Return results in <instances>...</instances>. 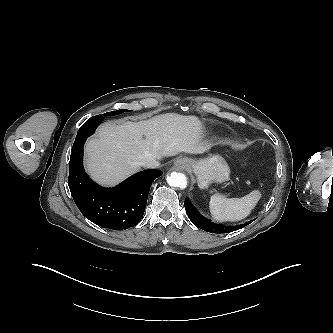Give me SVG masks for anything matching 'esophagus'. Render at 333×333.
I'll list each match as a JSON object with an SVG mask.
<instances>
[{
  "instance_id": "obj_1",
  "label": "esophagus",
  "mask_w": 333,
  "mask_h": 333,
  "mask_svg": "<svg viewBox=\"0 0 333 333\" xmlns=\"http://www.w3.org/2000/svg\"><path fill=\"white\" fill-rule=\"evenodd\" d=\"M175 165L178 167V168H181V169H185L189 166V162L186 158H181V159H178L176 162H175Z\"/></svg>"
}]
</instances>
